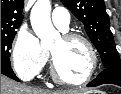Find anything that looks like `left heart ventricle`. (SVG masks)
Segmentation results:
<instances>
[{
	"instance_id": "obj_1",
	"label": "left heart ventricle",
	"mask_w": 121,
	"mask_h": 94,
	"mask_svg": "<svg viewBox=\"0 0 121 94\" xmlns=\"http://www.w3.org/2000/svg\"><path fill=\"white\" fill-rule=\"evenodd\" d=\"M54 54L61 76L70 81L83 79L90 67L87 47L82 41L58 39L50 48Z\"/></svg>"
}]
</instances>
